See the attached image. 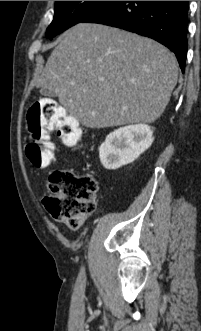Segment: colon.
<instances>
[{"label": "colon", "instance_id": "obj_1", "mask_svg": "<svg viewBox=\"0 0 201 331\" xmlns=\"http://www.w3.org/2000/svg\"><path fill=\"white\" fill-rule=\"evenodd\" d=\"M30 140L26 156L36 167H46L54 159L48 133L56 131L68 145L81 143L82 132L75 118L68 115L53 99L43 98L28 111ZM50 195L43 199L48 213L73 229L80 228L96 206L97 182L93 177L76 175L68 170L54 171L49 178Z\"/></svg>", "mask_w": 201, "mask_h": 331}]
</instances>
